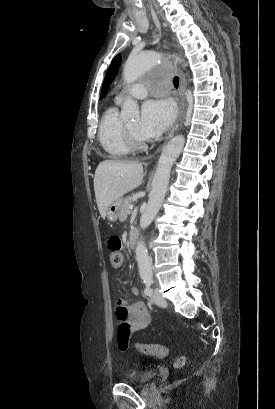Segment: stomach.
<instances>
[{
    "mask_svg": "<svg viewBox=\"0 0 275 409\" xmlns=\"http://www.w3.org/2000/svg\"><path fill=\"white\" fill-rule=\"evenodd\" d=\"M122 202L123 198H116V200H113L111 205H109L106 213L107 221H109V223H116L122 207Z\"/></svg>",
    "mask_w": 275,
    "mask_h": 409,
    "instance_id": "0dacf381",
    "label": "stomach"
}]
</instances>
